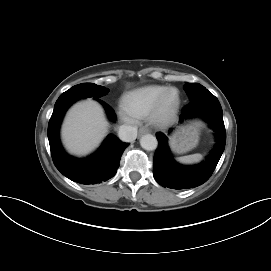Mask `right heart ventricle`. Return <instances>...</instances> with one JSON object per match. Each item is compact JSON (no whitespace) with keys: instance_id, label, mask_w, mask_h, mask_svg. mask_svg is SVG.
Returning a JSON list of instances; mask_svg holds the SVG:
<instances>
[{"instance_id":"obj_1","label":"right heart ventricle","mask_w":271,"mask_h":271,"mask_svg":"<svg viewBox=\"0 0 271 271\" xmlns=\"http://www.w3.org/2000/svg\"><path fill=\"white\" fill-rule=\"evenodd\" d=\"M167 88L163 85H147L131 90L122 98L123 110L134 118L145 117Z\"/></svg>"}]
</instances>
